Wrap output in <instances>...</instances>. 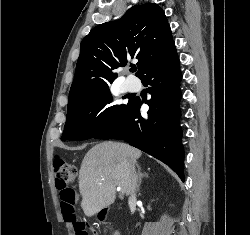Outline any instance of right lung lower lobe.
Masks as SVG:
<instances>
[{
    "mask_svg": "<svg viewBox=\"0 0 250 235\" xmlns=\"http://www.w3.org/2000/svg\"><path fill=\"white\" fill-rule=\"evenodd\" d=\"M150 85L151 99L146 117L140 114L143 101L132 99L123 112L96 139L125 140L130 145L167 164L184 180V151L179 124L182 74L175 43L141 77Z\"/></svg>",
    "mask_w": 250,
    "mask_h": 235,
    "instance_id": "98d812e1",
    "label": "right lung lower lobe"
}]
</instances>
